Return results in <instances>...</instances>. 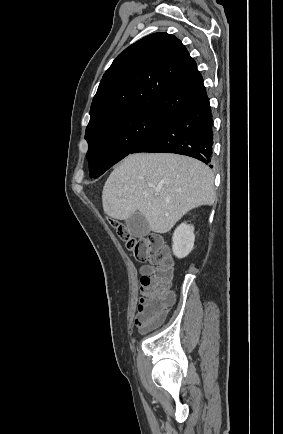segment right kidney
I'll return each instance as SVG.
<instances>
[{
  "label": "right kidney",
  "instance_id": "ca27d5eb",
  "mask_svg": "<svg viewBox=\"0 0 283 434\" xmlns=\"http://www.w3.org/2000/svg\"><path fill=\"white\" fill-rule=\"evenodd\" d=\"M172 250L176 257H186L194 247V227L187 223L180 224L173 234Z\"/></svg>",
  "mask_w": 283,
  "mask_h": 434
}]
</instances>
